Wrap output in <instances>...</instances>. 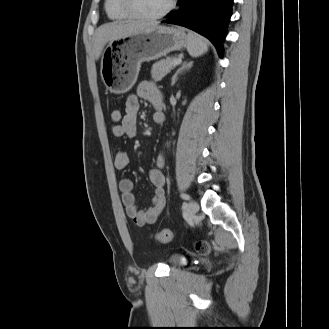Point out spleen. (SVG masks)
Instances as JSON below:
<instances>
[{"instance_id":"obj_1","label":"spleen","mask_w":329,"mask_h":329,"mask_svg":"<svg viewBox=\"0 0 329 329\" xmlns=\"http://www.w3.org/2000/svg\"><path fill=\"white\" fill-rule=\"evenodd\" d=\"M187 51L192 57H199L208 51L206 39L196 33L187 35Z\"/></svg>"}]
</instances>
